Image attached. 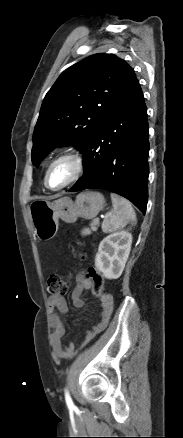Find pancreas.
<instances>
[{
	"label": "pancreas",
	"instance_id": "cf45deb5",
	"mask_svg": "<svg viewBox=\"0 0 183 438\" xmlns=\"http://www.w3.org/2000/svg\"><path fill=\"white\" fill-rule=\"evenodd\" d=\"M99 225V221H97V219H94L92 222H91V224H90V226H91V229H89V228H85V229H83L82 230V235H84V236H86V235H90L91 233H92V231H97V226Z\"/></svg>",
	"mask_w": 183,
	"mask_h": 438
}]
</instances>
